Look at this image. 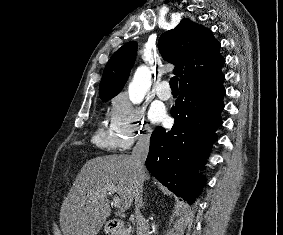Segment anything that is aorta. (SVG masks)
I'll return each instance as SVG.
<instances>
[{
	"instance_id": "aorta-1",
	"label": "aorta",
	"mask_w": 283,
	"mask_h": 235,
	"mask_svg": "<svg viewBox=\"0 0 283 235\" xmlns=\"http://www.w3.org/2000/svg\"><path fill=\"white\" fill-rule=\"evenodd\" d=\"M151 85V73L146 66H140L128 87L129 98L134 104H139L145 97Z\"/></svg>"
}]
</instances>
